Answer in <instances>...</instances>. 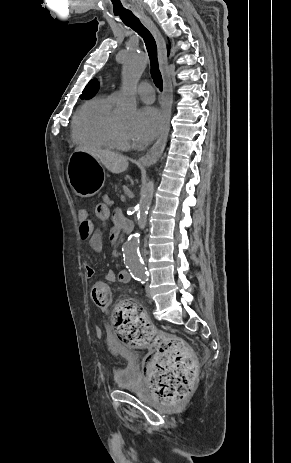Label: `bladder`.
Segmentation results:
<instances>
[{
    "label": "bladder",
    "mask_w": 291,
    "mask_h": 463,
    "mask_svg": "<svg viewBox=\"0 0 291 463\" xmlns=\"http://www.w3.org/2000/svg\"><path fill=\"white\" fill-rule=\"evenodd\" d=\"M117 358L123 363V367L116 373V383L121 389H133L138 386L139 379L136 372V358L131 350L125 349L116 353Z\"/></svg>",
    "instance_id": "1"
}]
</instances>
